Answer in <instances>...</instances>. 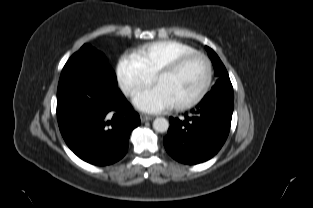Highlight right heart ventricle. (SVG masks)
<instances>
[{
    "label": "right heart ventricle",
    "mask_w": 313,
    "mask_h": 208,
    "mask_svg": "<svg viewBox=\"0 0 313 208\" xmlns=\"http://www.w3.org/2000/svg\"><path fill=\"white\" fill-rule=\"evenodd\" d=\"M196 51L193 46L181 41L162 40L142 46L135 52V55L146 69L155 75L159 69L169 64L177 57Z\"/></svg>",
    "instance_id": "obj_1"
}]
</instances>
